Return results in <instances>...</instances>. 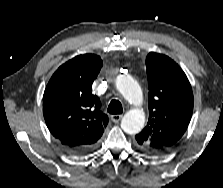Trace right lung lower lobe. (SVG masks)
<instances>
[{
  "label": "right lung lower lobe",
  "instance_id": "right-lung-lower-lobe-1",
  "mask_svg": "<svg viewBox=\"0 0 223 188\" xmlns=\"http://www.w3.org/2000/svg\"><path fill=\"white\" fill-rule=\"evenodd\" d=\"M69 152L73 153V154H85L87 152H89L92 148H67L65 147Z\"/></svg>",
  "mask_w": 223,
  "mask_h": 188
}]
</instances>
